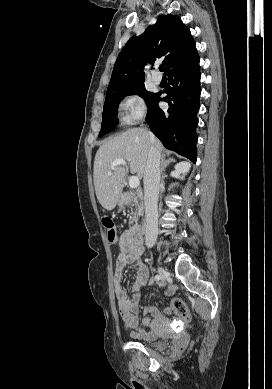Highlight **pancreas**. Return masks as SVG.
Here are the masks:
<instances>
[{
    "label": "pancreas",
    "mask_w": 272,
    "mask_h": 389,
    "mask_svg": "<svg viewBox=\"0 0 272 389\" xmlns=\"http://www.w3.org/2000/svg\"><path fill=\"white\" fill-rule=\"evenodd\" d=\"M129 195H131L130 202H128V205L130 207L135 206L136 210L134 212L130 213V222L129 224L132 225L133 223H137L139 217L142 215L143 211V204L141 201V198L136 195L135 193L130 192Z\"/></svg>",
    "instance_id": "1"
}]
</instances>
